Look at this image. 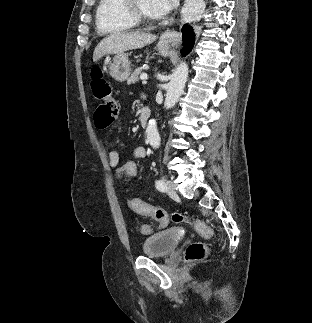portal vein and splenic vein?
Masks as SVG:
<instances>
[{
    "instance_id": "18ae733b",
    "label": "portal vein and splenic vein",
    "mask_w": 312,
    "mask_h": 323,
    "mask_svg": "<svg viewBox=\"0 0 312 323\" xmlns=\"http://www.w3.org/2000/svg\"><path fill=\"white\" fill-rule=\"evenodd\" d=\"M140 78H141V80H143V82H145V80H147L148 76H147V74H141Z\"/></svg>"
}]
</instances>
